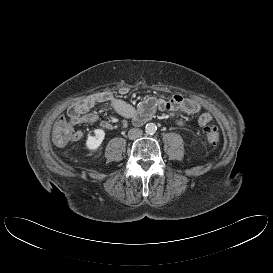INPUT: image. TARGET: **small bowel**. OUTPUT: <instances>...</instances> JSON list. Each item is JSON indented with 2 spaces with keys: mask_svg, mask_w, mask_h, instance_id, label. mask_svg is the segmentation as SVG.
Masks as SVG:
<instances>
[{
  "mask_svg": "<svg viewBox=\"0 0 273 273\" xmlns=\"http://www.w3.org/2000/svg\"><path fill=\"white\" fill-rule=\"evenodd\" d=\"M122 94H127L128 89L122 88ZM108 102L116 113L124 118L131 119L136 125L146 122L156 110L160 111H180L186 115L196 114L201 110V106L193 99L183 98L178 95H174L165 100L156 97H147L137 106H133L130 103L116 98L111 92H102L93 94L82 101L72 105L68 109V115L71 118L73 124L94 123L98 117L91 109L99 103ZM213 119L212 115L208 112L201 113L197 119L200 126H205ZM185 120L178 121L179 125H183ZM102 126L109 128L108 122L102 123ZM82 132L75 134V140L81 139Z\"/></svg>",
  "mask_w": 273,
  "mask_h": 273,
  "instance_id": "c3829d8e",
  "label": "small bowel"
}]
</instances>
